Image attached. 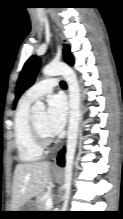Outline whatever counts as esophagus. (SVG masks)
Instances as JSON below:
<instances>
[{
	"instance_id": "1",
	"label": "esophagus",
	"mask_w": 123,
	"mask_h": 219,
	"mask_svg": "<svg viewBox=\"0 0 123 219\" xmlns=\"http://www.w3.org/2000/svg\"><path fill=\"white\" fill-rule=\"evenodd\" d=\"M54 167H57V164H56V162H54Z\"/></svg>"
}]
</instances>
